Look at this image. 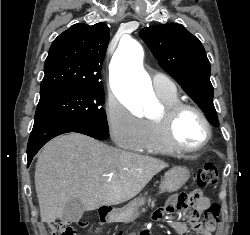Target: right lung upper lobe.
Segmentation results:
<instances>
[{
	"label": "right lung upper lobe",
	"instance_id": "cb5924a9",
	"mask_svg": "<svg viewBox=\"0 0 250 235\" xmlns=\"http://www.w3.org/2000/svg\"><path fill=\"white\" fill-rule=\"evenodd\" d=\"M109 36L104 23H78L60 34L45 61L40 97L103 86L101 68Z\"/></svg>",
	"mask_w": 250,
	"mask_h": 235
}]
</instances>
